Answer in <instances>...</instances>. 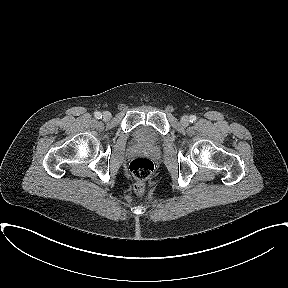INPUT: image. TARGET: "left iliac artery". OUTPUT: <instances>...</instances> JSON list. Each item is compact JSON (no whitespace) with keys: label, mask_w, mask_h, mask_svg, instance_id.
Instances as JSON below:
<instances>
[{"label":"left iliac artery","mask_w":288,"mask_h":288,"mask_svg":"<svg viewBox=\"0 0 288 288\" xmlns=\"http://www.w3.org/2000/svg\"><path fill=\"white\" fill-rule=\"evenodd\" d=\"M189 119H190L189 121H190L191 123H193V122H195V121L197 120V118H196L195 115H191Z\"/></svg>","instance_id":"1"}]
</instances>
